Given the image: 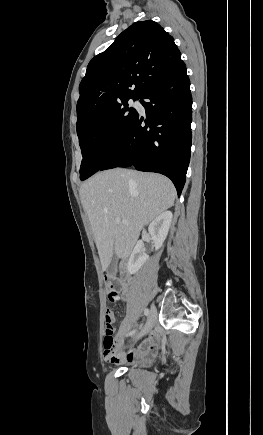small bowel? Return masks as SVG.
<instances>
[{
	"mask_svg": "<svg viewBox=\"0 0 263 435\" xmlns=\"http://www.w3.org/2000/svg\"><path fill=\"white\" fill-rule=\"evenodd\" d=\"M111 318L112 323L114 322V315L110 310L106 311V316ZM135 321L126 317L122 320L119 329L114 337L115 348L114 350H104V358L108 361L115 363H124V362H133L137 360L146 359L153 354L157 347V336L155 334H151L145 337L136 348H128L124 351L120 352L122 345L124 343L125 337L136 330Z\"/></svg>",
	"mask_w": 263,
	"mask_h": 435,
	"instance_id": "c3829d8e",
	"label": "small bowel"
}]
</instances>
